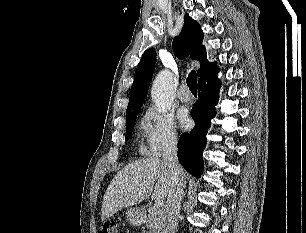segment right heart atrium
<instances>
[{
  "label": "right heart atrium",
  "mask_w": 306,
  "mask_h": 233,
  "mask_svg": "<svg viewBox=\"0 0 306 233\" xmlns=\"http://www.w3.org/2000/svg\"><path fill=\"white\" fill-rule=\"evenodd\" d=\"M143 130L149 156L158 157L178 143L179 136L173 116L154 107H149L144 114Z\"/></svg>",
  "instance_id": "right-heart-atrium-1"
}]
</instances>
